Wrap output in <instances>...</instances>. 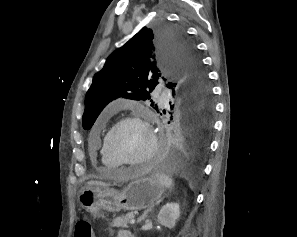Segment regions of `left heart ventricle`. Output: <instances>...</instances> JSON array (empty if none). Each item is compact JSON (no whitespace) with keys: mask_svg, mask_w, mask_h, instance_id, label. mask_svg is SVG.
I'll use <instances>...</instances> for the list:
<instances>
[{"mask_svg":"<svg viewBox=\"0 0 297 237\" xmlns=\"http://www.w3.org/2000/svg\"><path fill=\"white\" fill-rule=\"evenodd\" d=\"M111 144L116 153L125 160H138L150 148V139L145 128L134 122L120 126L112 135Z\"/></svg>","mask_w":297,"mask_h":237,"instance_id":"obj_1","label":"left heart ventricle"}]
</instances>
